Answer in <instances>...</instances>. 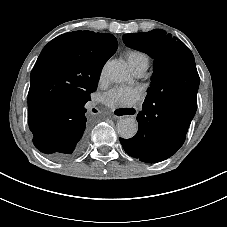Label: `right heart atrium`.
I'll return each instance as SVG.
<instances>
[{"label": "right heart atrium", "instance_id": "d8ad5b80", "mask_svg": "<svg viewBox=\"0 0 227 227\" xmlns=\"http://www.w3.org/2000/svg\"><path fill=\"white\" fill-rule=\"evenodd\" d=\"M104 77V68H102V70L100 71V79H102Z\"/></svg>", "mask_w": 227, "mask_h": 227}]
</instances>
